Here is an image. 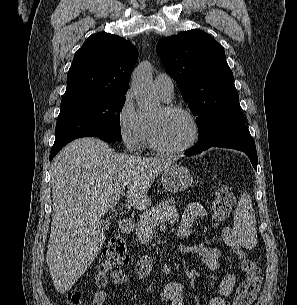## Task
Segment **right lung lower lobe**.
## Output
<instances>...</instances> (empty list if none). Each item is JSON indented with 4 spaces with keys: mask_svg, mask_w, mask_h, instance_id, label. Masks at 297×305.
Instances as JSON below:
<instances>
[{
    "mask_svg": "<svg viewBox=\"0 0 297 305\" xmlns=\"http://www.w3.org/2000/svg\"><path fill=\"white\" fill-rule=\"evenodd\" d=\"M100 139L107 141V142H117L118 140L109 138V137H99ZM63 147L59 148H52L50 152V160L53 159V157L62 149Z\"/></svg>",
    "mask_w": 297,
    "mask_h": 305,
    "instance_id": "1",
    "label": "right lung lower lobe"
}]
</instances>
